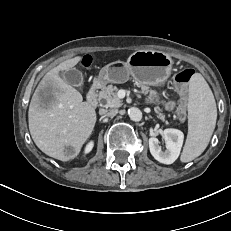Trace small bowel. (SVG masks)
<instances>
[{
	"mask_svg": "<svg viewBox=\"0 0 231 231\" xmlns=\"http://www.w3.org/2000/svg\"><path fill=\"white\" fill-rule=\"evenodd\" d=\"M174 107H175V103L172 102V101H171V102H168V103L166 104V108L169 109V110H173Z\"/></svg>",
	"mask_w": 231,
	"mask_h": 231,
	"instance_id": "obj_1",
	"label": "small bowel"
}]
</instances>
